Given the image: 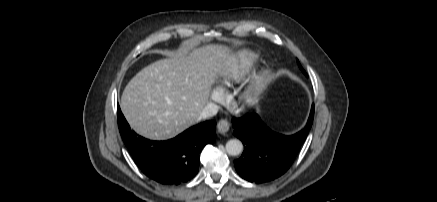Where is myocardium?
<instances>
[{"label": "myocardium", "instance_id": "1", "mask_svg": "<svg viewBox=\"0 0 437 202\" xmlns=\"http://www.w3.org/2000/svg\"><path fill=\"white\" fill-rule=\"evenodd\" d=\"M267 73L263 72L253 77L243 89L240 95V101L245 106L255 105L266 84Z\"/></svg>", "mask_w": 437, "mask_h": 202}]
</instances>
